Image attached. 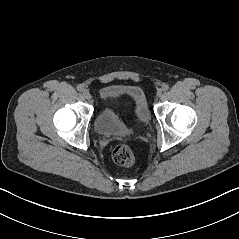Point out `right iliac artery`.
<instances>
[{
  "instance_id": "82829eb1",
  "label": "right iliac artery",
  "mask_w": 239,
  "mask_h": 239,
  "mask_svg": "<svg viewBox=\"0 0 239 239\" xmlns=\"http://www.w3.org/2000/svg\"><path fill=\"white\" fill-rule=\"evenodd\" d=\"M77 90L80 91V92H82V91L84 90V88H83L82 85H78V86H77Z\"/></svg>"
}]
</instances>
